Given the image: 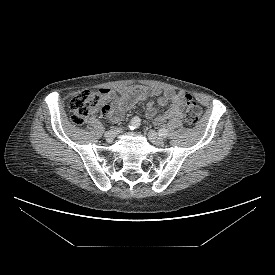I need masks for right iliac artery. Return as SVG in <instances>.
<instances>
[{
    "instance_id": "82829eb1",
    "label": "right iliac artery",
    "mask_w": 275,
    "mask_h": 275,
    "mask_svg": "<svg viewBox=\"0 0 275 275\" xmlns=\"http://www.w3.org/2000/svg\"><path fill=\"white\" fill-rule=\"evenodd\" d=\"M140 122H141V120L139 117H134L129 123V128L131 130L138 128L140 126Z\"/></svg>"
}]
</instances>
